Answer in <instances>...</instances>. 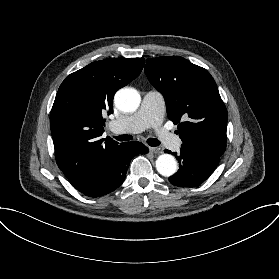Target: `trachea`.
<instances>
[{
	"instance_id": "1",
	"label": "trachea",
	"mask_w": 279,
	"mask_h": 279,
	"mask_svg": "<svg viewBox=\"0 0 279 279\" xmlns=\"http://www.w3.org/2000/svg\"><path fill=\"white\" fill-rule=\"evenodd\" d=\"M113 138H115L118 141H128V140H132L133 136L129 135V134H124V135H119V136H112ZM150 146H157L159 144V141L155 138H149L146 141Z\"/></svg>"
}]
</instances>
